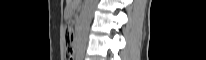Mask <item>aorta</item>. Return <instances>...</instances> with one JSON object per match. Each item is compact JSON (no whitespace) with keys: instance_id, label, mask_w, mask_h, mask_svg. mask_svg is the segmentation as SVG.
Returning a JSON list of instances; mask_svg holds the SVG:
<instances>
[{"instance_id":"762f6f07","label":"aorta","mask_w":206,"mask_h":60,"mask_svg":"<svg viewBox=\"0 0 206 60\" xmlns=\"http://www.w3.org/2000/svg\"><path fill=\"white\" fill-rule=\"evenodd\" d=\"M96 5V0H86V5L83 12V18L79 30V40L81 51L85 45V40L87 37L88 29L91 23L92 14Z\"/></svg>"}]
</instances>
